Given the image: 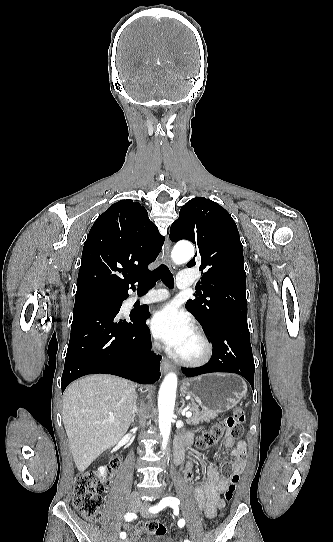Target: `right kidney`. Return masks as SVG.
<instances>
[{
  "label": "right kidney",
  "instance_id": "right-kidney-1",
  "mask_svg": "<svg viewBox=\"0 0 333 542\" xmlns=\"http://www.w3.org/2000/svg\"><path fill=\"white\" fill-rule=\"evenodd\" d=\"M98 472H99L100 476H103V478H105V476L107 474V470H106V468H104V466H102V468H98Z\"/></svg>",
  "mask_w": 333,
  "mask_h": 542
}]
</instances>
